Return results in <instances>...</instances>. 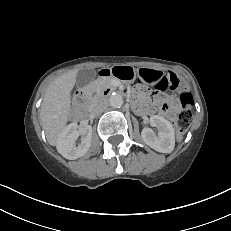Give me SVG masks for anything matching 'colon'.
<instances>
[{
	"mask_svg": "<svg viewBox=\"0 0 231 231\" xmlns=\"http://www.w3.org/2000/svg\"><path fill=\"white\" fill-rule=\"evenodd\" d=\"M143 77L147 79L148 74L144 73ZM171 87L172 89H180L177 100L181 106L182 111L176 116L174 120L177 131V138L180 140L186 133L192 117L193 97L188 90L182 89V83L176 76L171 78ZM161 106L163 110H169L171 108L170 104L167 102H163Z\"/></svg>",
	"mask_w": 231,
	"mask_h": 231,
	"instance_id": "colon-1",
	"label": "colon"
}]
</instances>
